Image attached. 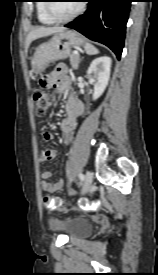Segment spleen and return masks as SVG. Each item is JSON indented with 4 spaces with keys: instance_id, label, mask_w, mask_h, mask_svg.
<instances>
[{
    "instance_id": "obj_1",
    "label": "spleen",
    "mask_w": 158,
    "mask_h": 275,
    "mask_svg": "<svg viewBox=\"0 0 158 275\" xmlns=\"http://www.w3.org/2000/svg\"><path fill=\"white\" fill-rule=\"evenodd\" d=\"M85 51L89 55H95L99 53L98 49L89 42H87L85 45Z\"/></svg>"
}]
</instances>
